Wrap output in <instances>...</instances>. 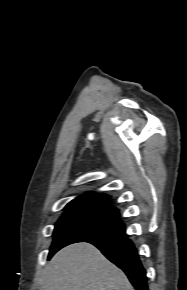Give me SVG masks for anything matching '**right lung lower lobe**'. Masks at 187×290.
Here are the masks:
<instances>
[{
  "mask_svg": "<svg viewBox=\"0 0 187 290\" xmlns=\"http://www.w3.org/2000/svg\"><path fill=\"white\" fill-rule=\"evenodd\" d=\"M95 245L128 276L136 290H148L146 271L141 265L137 251L125 230L85 241Z\"/></svg>",
  "mask_w": 187,
  "mask_h": 290,
  "instance_id": "right-lung-lower-lobe-1",
  "label": "right lung lower lobe"
}]
</instances>
